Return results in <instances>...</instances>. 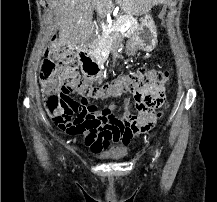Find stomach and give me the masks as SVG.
I'll return each instance as SVG.
<instances>
[{
	"label": "stomach",
	"instance_id": "1",
	"mask_svg": "<svg viewBox=\"0 0 217 202\" xmlns=\"http://www.w3.org/2000/svg\"><path fill=\"white\" fill-rule=\"evenodd\" d=\"M157 44V30L151 14L143 16L138 30L126 44L128 56H133L137 50L152 52Z\"/></svg>",
	"mask_w": 217,
	"mask_h": 202
}]
</instances>
